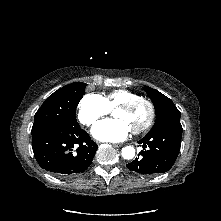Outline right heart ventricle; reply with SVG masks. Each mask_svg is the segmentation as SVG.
<instances>
[{
	"label": "right heart ventricle",
	"mask_w": 221,
	"mask_h": 221,
	"mask_svg": "<svg viewBox=\"0 0 221 221\" xmlns=\"http://www.w3.org/2000/svg\"><path fill=\"white\" fill-rule=\"evenodd\" d=\"M139 97L140 96L137 93L132 92L130 90L116 89L106 93L103 96V99L106 105L108 106V108L111 110L115 109L118 105L122 103L137 99Z\"/></svg>",
	"instance_id": "right-heart-ventricle-1"
}]
</instances>
